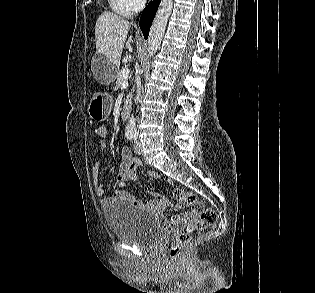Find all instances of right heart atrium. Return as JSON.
<instances>
[{
	"mask_svg": "<svg viewBox=\"0 0 315 293\" xmlns=\"http://www.w3.org/2000/svg\"><path fill=\"white\" fill-rule=\"evenodd\" d=\"M125 2L130 11L134 12L141 9L145 5L146 0H125Z\"/></svg>",
	"mask_w": 315,
	"mask_h": 293,
	"instance_id": "1",
	"label": "right heart atrium"
}]
</instances>
